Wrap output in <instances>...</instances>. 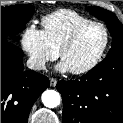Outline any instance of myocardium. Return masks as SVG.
<instances>
[{"mask_svg":"<svg viewBox=\"0 0 123 123\" xmlns=\"http://www.w3.org/2000/svg\"><path fill=\"white\" fill-rule=\"evenodd\" d=\"M93 26H98L100 28H102L104 35H105V39H104V43L103 46L101 48V50L99 51L98 55L92 60L91 63H89L87 66L81 68V69H76V70H70V72L74 75H82V74H86L88 72H90L91 70H93L99 63L100 61L103 59L107 48L109 46V42H110V32L107 28V26L99 21H91L88 22L80 27H78L70 36L69 38L63 43V45L60 47L59 51H58V55L60 57V59H63V56L65 54L66 51H68L70 48L73 47V45L76 43V41L78 40V38L80 37V35L87 30L90 27Z\"/></svg>","mask_w":123,"mask_h":123,"instance_id":"myocardium-1","label":"myocardium"}]
</instances>
